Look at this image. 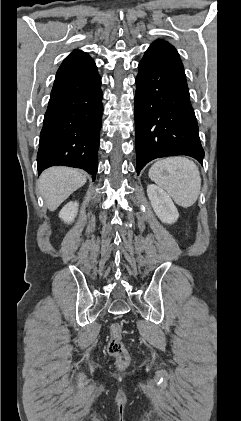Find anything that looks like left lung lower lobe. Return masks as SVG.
<instances>
[{
	"instance_id": "left-lung-lower-lobe-1",
	"label": "left lung lower lobe",
	"mask_w": 241,
	"mask_h": 421,
	"mask_svg": "<svg viewBox=\"0 0 241 421\" xmlns=\"http://www.w3.org/2000/svg\"><path fill=\"white\" fill-rule=\"evenodd\" d=\"M135 93L137 174L151 160L187 155L202 164L198 123L176 49L154 41L139 63Z\"/></svg>"
}]
</instances>
